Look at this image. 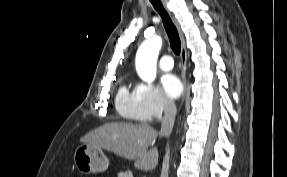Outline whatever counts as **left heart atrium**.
<instances>
[{
	"label": "left heart atrium",
	"instance_id": "left-heart-atrium-1",
	"mask_svg": "<svg viewBox=\"0 0 287 177\" xmlns=\"http://www.w3.org/2000/svg\"><path fill=\"white\" fill-rule=\"evenodd\" d=\"M162 88L170 99H177L183 92V82L174 74H165L161 79Z\"/></svg>",
	"mask_w": 287,
	"mask_h": 177
}]
</instances>
